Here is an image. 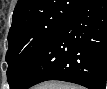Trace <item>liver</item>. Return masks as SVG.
<instances>
[{
  "mask_svg": "<svg viewBox=\"0 0 107 89\" xmlns=\"http://www.w3.org/2000/svg\"><path fill=\"white\" fill-rule=\"evenodd\" d=\"M59 84L61 83H58V82L45 83L37 86L36 89H57Z\"/></svg>",
  "mask_w": 107,
  "mask_h": 89,
  "instance_id": "obj_1",
  "label": "liver"
}]
</instances>
